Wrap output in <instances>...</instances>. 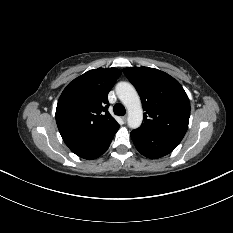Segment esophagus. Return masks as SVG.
<instances>
[{
    "label": "esophagus",
    "mask_w": 233,
    "mask_h": 233,
    "mask_svg": "<svg viewBox=\"0 0 233 233\" xmlns=\"http://www.w3.org/2000/svg\"><path fill=\"white\" fill-rule=\"evenodd\" d=\"M122 119H123V121L126 122V120H127V115L123 116Z\"/></svg>",
    "instance_id": "esophagus-1"
}]
</instances>
